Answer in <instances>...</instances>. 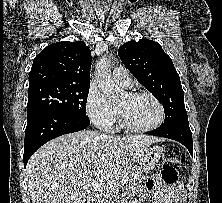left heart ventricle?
Listing matches in <instances>:
<instances>
[{"mask_svg":"<svg viewBox=\"0 0 222 203\" xmlns=\"http://www.w3.org/2000/svg\"><path fill=\"white\" fill-rule=\"evenodd\" d=\"M117 106L132 124L139 127L154 124L160 116L157 105L145 96L129 98L123 94L118 98Z\"/></svg>","mask_w":222,"mask_h":203,"instance_id":"b2bd125f","label":"left heart ventricle"}]
</instances>
